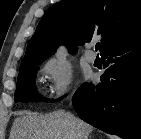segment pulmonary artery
<instances>
[{
  "instance_id": "pulmonary-artery-1",
  "label": "pulmonary artery",
  "mask_w": 141,
  "mask_h": 139,
  "mask_svg": "<svg viewBox=\"0 0 141 139\" xmlns=\"http://www.w3.org/2000/svg\"><path fill=\"white\" fill-rule=\"evenodd\" d=\"M84 57L90 63H93L96 60V54L91 49L85 51Z\"/></svg>"
}]
</instances>
